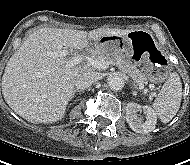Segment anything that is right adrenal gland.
Segmentation results:
<instances>
[{
  "mask_svg": "<svg viewBox=\"0 0 190 165\" xmlns=\"http://www.w3.org/2000/svg\"><path fill=\"white\" fill-rule=\"evenodd\" d=\"M81 92H82V91L79 90V89H74V90H73V93H72V95H71V99L74 98L75 93H81Z\"/></svg>",
  "mask_w": 190,
  "mask_h": 165,
  "instance_id": "2a0ac1e0",
  "label": "right adrenal gland"
}]
</instances>
